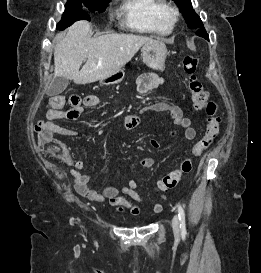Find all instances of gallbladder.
<instances>
[{
    "instance_id": "bac80fb5",
    "label": "gallbladder",
    "mask_w": 261,
    "mask_h": 273,
    "mask_svg": "<svg viewBox=\"0 0 261 273\" xmlns=\"http://www.w3.org/2000/svg\"><path fill=\"white\" fill-rule=\"evenodd\" d=\"M68 79L61 76V77H54L48 90V96H57L61 94L68 86Z\"/></svg>"
}]
</instances>
